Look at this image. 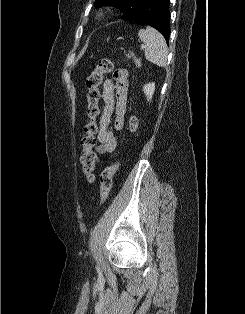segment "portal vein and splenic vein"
Segmentation results:
<instances>
[{"label":"portal vein and splenic vein","mask_w":245,"mask_h":314,"mask_svg":"<svg viewBox=\"0 0 245 314\" xmlns=\"http://www.w3.org/2000/svg\"><path fill=\"white\" fill-rule=\"evenodd\" d=\"M141 48H142V49H145V48H146V46H145V45H142V46H141Z\"/></svg>","instance_id":"1"}]
</instances>
